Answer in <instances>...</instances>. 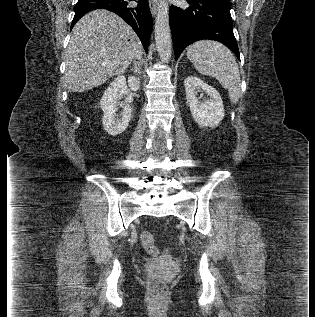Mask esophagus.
<instances>
[{"label": "esophagus", "mask_w": 315, "mask_h": 317, "mask_svg": "<svg viewBox=\"0 0 315 317\" xmlns=\"http://www.w3.org/2000/svg\"><path fill=\"white\" fill-rule=\"evenodd\" d=\"M157 0H149V7L152 15H156L157 12Z\"/></svg>", "instance_id": "34e87169"}]
</instances>
